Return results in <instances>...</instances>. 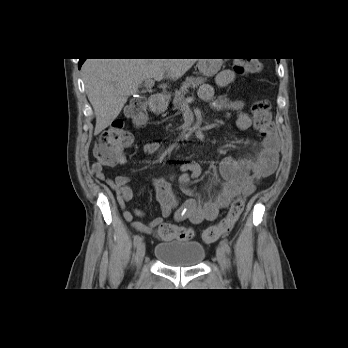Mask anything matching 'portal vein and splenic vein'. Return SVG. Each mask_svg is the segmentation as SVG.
I'll use <instances>...</instances> for the list:
<instances>
[{
  "label": "portal vein and splenic vein",
  "mask_w": 348,
  "mask_h": 348,
  "mask_svg": "<svg viewBox=\"0 0 348 348\" xmlns=\"http://www.w3.org/2000/svg\"><path fill=\"white\" fill-rule=\"evenodd\" d=\"M144 86H145L146 88H152V87L154 86V80H152V79L146 80V81L144 82Z\"/></svg>",
  "instance_id": "18ae733b"
}]
</instances>
